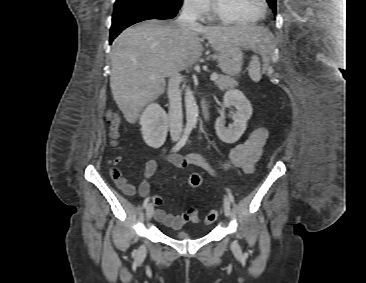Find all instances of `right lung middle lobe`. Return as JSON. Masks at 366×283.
Returning <instances> with one entry per match:
<instances>
[{
  "instance_id": "1",
  "label": "right lung middle lobe",
  "mask_w": 366,
  "mask_h": 283,
  "mask_svg": "<svg viewBox=\"0 0 366 283\" xmlns=\"http://www.w3.org/2000/svg\"><path fill=\"white\" fill-rule=\"evenodd\" d=\"M137 1H146V0H137ZM157 2H161L168 9H178L181 7L182 0H155Z\"/></svg>"
}]
</instances>
